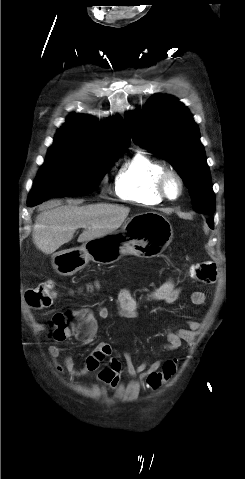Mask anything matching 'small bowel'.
I'll list each match as a JSON object with an SVG mask.
<instances>
[{
	"label": "small bowel",
	"instance_id": "obj_1",
	"mask_svg": "<svg viewBox=\"0 0 245 479\" xmlns=\"http://www.w3.org/2000/svg\"><path fill=\"white\" fill-rule=\"evenodd\" d=\"M181 288L177 286L173 278L167 279L163 284L152 290L147 296V300L161 301L167 304H173L180 298ZM206 300L205 293L195 291L190 295V301L194 305H202ZM117 314L121 318H137L141 308V301L136 299L128 288H122L116 296ZM75 313L81 315L83 323L80 331L89 335L96 332V322L93 312L88 308H83ZM96 314L101 319H108L111 315L108 308L104 306L96 307ZM200 328V322L194 319L187 321L186 328H180L176 331L168 330L166 334V343L163 345L165 351H175L182 345V342L192 338L193 333ZM55 340V339H54ZM62 340H55L48 348V353L52 359L55 369L60 373H67L73 378L82 377L88 373H96L97 380L102 385L112 389H117L121 384L122 364L112 356L113 348L109 343L102 342L92 350L85 358L82 367L77 368L72 356L64 357L63 363H58L57 359L62 351ZM108 358V364L102 367L104 360ZM125 368L128 377L147 380L152 373L162 369L165 362L157 359L151 364L146 361L134 365L128 353L125 354Z\"/></svg>",
	"mask_w": 245,
	"mask_h": 479
}]
</instances>
